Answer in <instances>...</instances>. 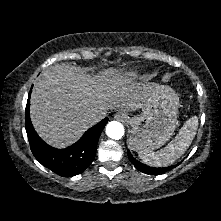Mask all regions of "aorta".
Instances as JSON below:
<instances>
[{"label":"aorta","mask_w":221,"mask_h":221,"mask_svg":"<svg viewBox=\"0 0 221 221\" xmlns=\"http://www.w3.org/2000/svg\"><path fill=\"white\" fill-rule=\"evenodd\" d=\"M106 134L111 139H120L124 135V127L118 121H111L106 126Z\"/></svg>","instance_id":"762f6f07"}]
</instances>
